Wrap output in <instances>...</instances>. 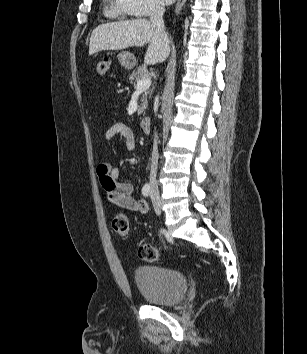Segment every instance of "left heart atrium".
<instances>
[{"instance_id": "obj_1", "label": "left heart atrium", "mask_w": 307, "mask_h": 354, "mask_svg": "<svg viewBox=\"0 0 307 354\" xmlns=\"http://www.w3.org/2000/svg\"><path fill=\"white\" fill-rule=\"evenodd\" d=\"M174 0H162L163 3L169 4L172 3Z\"/></svg>"}]
</instances>
